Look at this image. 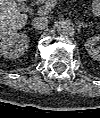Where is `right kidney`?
<instances>
[{"label": "right kidney", "mask_w": 100, "mask_h": 118, "mask_svg": "<svg viewBox=\"0 0 100 118\" xmlns=\"http://www.w3.org/2000/svg\"><path fill=\"white\" fill-rule=\"evenodd\" d=\"M30 39L24 33H13L1 39L0 53L4 58L16 59L22 56L29 47Z\"/></svg>", "instance_id": "1"}]
</instances>
